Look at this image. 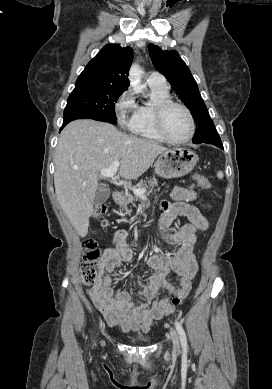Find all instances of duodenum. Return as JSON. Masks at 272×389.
Masks as SVG:
<instances>
[{"label":"duodenum","instance_id":"410a0bca","mask_svg":"<svg viewBox=\"0 0 272 389\" xmlns=\"http://www.w3.org/2000/svg\"><path fill=\"white\" fill-rule=\"evenodd\" d=\"M113 199L117 204H121L123 202V196L119 192L113 193Z\"/></svg>","mask_w":272,"mask_h":389}]
</instances>
